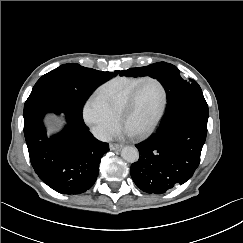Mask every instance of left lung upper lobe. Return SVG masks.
<instances>
[{
    "mask_svg": "<svg viewBox=\"0 0 243 243\" xmlns=\"http://www.w3.org/2000/svg\"><path fill=\"white\" fill-rule=\"evenodd\" d=\"M122 76H150L156 78L164 86L167 96V109L174 106L184 98L193 94L202 93L194 80H184L177 67L166 62H158L145 67L131 68L120 71Z\"/></svg>",
    "mask_w": 243,
    "mask_h": 243,
    "instance_id": "5c2ea615",
    "label": "left lung upper lobe"
}]
</instances>
